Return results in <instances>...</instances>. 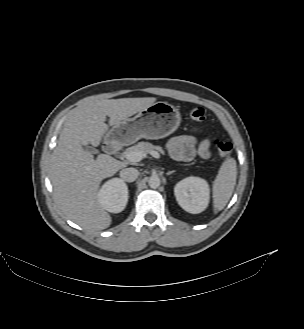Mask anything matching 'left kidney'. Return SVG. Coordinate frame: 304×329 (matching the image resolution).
Returning <instances> with one entry per match:
<instances>
[{
  "label": "left kidney",
  "instance_id": "1",
  "mask_svg": "<svg viewBox=\"0 0 304 329\" xmlns=\"http://www.w3.org/2000/svg\"><path fill=\"white\" fill-rule=\"evenodd\" d=\"M178 204L187 212L198 214L204 211L210 200V189L206 180L199 177H187L174 187Z\"/></svg>",
  "mask_w": 304,
  "mask_h": 329
}]
</instances>
